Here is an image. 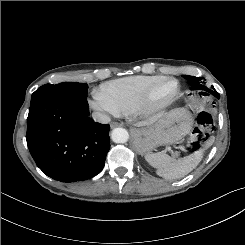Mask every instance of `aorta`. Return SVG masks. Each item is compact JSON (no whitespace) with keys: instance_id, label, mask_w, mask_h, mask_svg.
<instances>
[{"instance_id":"762f6f07","label":"aorta","mask_w":245,"mask_h":245,"mask_svg":"<svg viewBox=\"0 0 245 245\" xmlns=\"http://www.w3.org/2000/svg\"><path fill=\"white\" fill-rule=\"evenodd\" d=\"M111 138L115 143H125L129 139V133L124 128H115L111 132Z\"/></svg>"}]
</instances>
